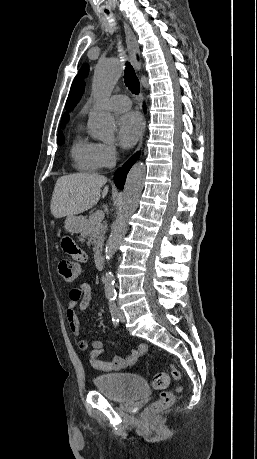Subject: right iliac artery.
Returning <instances> with one entry per match:
<instances>
[{
  "mask_svg": "<svg viewBox=\"0 0 257 459\" xmlns=\"http://www.w3.org/2000/svg\"><path fill=\"white\" fill-rule=\"evenodd\" d=\"M109 299V305H110V312H111V316H112V321H113V324L115 326L118 325L119 323V313H118V309H117V306L114 302V298L113 297H108Z\"/></svg>",
  "mask_w": 257,
  "mask_h": 459,
  "instance_id": "1",
  "label": "right iliac artery"
}]
</instances>
